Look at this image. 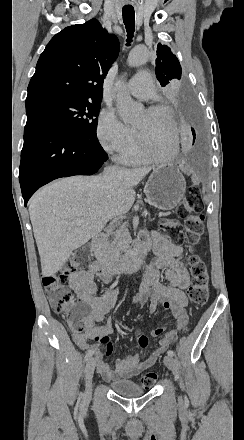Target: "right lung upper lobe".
Returning a JSON list of instances; mask_svg holds the SVG:
<instances>
[{
	"label": "right lung upper lobe",
	"mask_w": 244,
	"mask_h": 440,
	"mask_svg": "<svg viewBox=\"0 0 244 440\" xmlns=\"http://www.w3.org/2000/svg\"><path fill=\"white\" fill-rule=\"evenodd\" d=\"M119 54V41L96 19L56 34L41 54L27 99L62 95L102 99L103 81Z\"/></svg>",
	"instance_id": "obj_1"
}]
</instances>
